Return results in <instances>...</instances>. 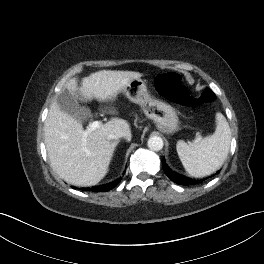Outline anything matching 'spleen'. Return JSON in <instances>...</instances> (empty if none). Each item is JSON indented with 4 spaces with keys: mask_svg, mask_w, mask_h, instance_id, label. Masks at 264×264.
Here are the masks:
<instances>
[{
    "mask_svg": "<svg viewBox=\"0 0 264 264\" xmlns=\"http://www.w3.org/2000/svg\"><path fill=\"white\" fill-rule=\"evenodd\" d=\"M217 126L213 135L194 144L179 140L176 144L178 156L186 172L194 177H204L220 169L230 149L231 131L222 113L216 114Z\"/></svg>",
    "mask_w": 264,
    "mask_h": 264,
    "instance_id": "3e777b00",
    "label": "spleen"
}]
</instances>
